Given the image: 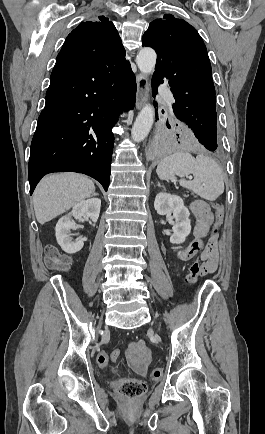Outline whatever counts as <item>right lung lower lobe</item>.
Listing matches in <instances>:
<instances>
[{"label": "right lung lower lobe", "mask_w": 265, "mask_h": 434, "mask_svg": "<svg viewBox=\"0 0 265 434\" xmlns=\"http://www.w3.org/2000/svg\"><path fill=\"white\" fill-rule=\"evenodd\" d=\"M136 80L124 57L56 64L31 143L30 194L48 173L73 171L109 186L118 114L134 107Z\"/></svg>", "instance_id": "right-lung-lower-lobe-1"}]
</instances>
